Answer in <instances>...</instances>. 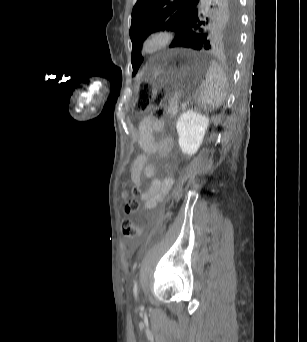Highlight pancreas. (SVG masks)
Wrapping results in <instances>:
<instances>
[{"label":"pancreas","mask_w":307,"mask_h":342,"mask_svg":"<svg viewBox=\"0 0 307 342\" xmlns=\"http://www.w3.org/2000/svg\"><path fill=\"white\" fill-rule=\"evenodd\" d=\"M177 108H178L177 103H170L169 108H168V111H169L170 113H173L175 110H177Z\"/></svg>","instance_id":"obj_1"}]
</instances>
